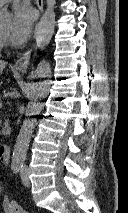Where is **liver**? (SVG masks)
<instances>
[{"label":"liver","instance_id":"liver-1","mask_svg":"<svg viewBox=\"0 0 128 213\" xmlns=\"http://www.w3.org/2000/svg\"><path fill=\"white\" fill-rule=\"evenodd\" d=\"M6 62L0 60V74L2 73V71L4 70V68L6 67ZM2 84V82L0 83V85Z\"/></svg>","mask_w":128,"mask_h":213}]
</instances>
